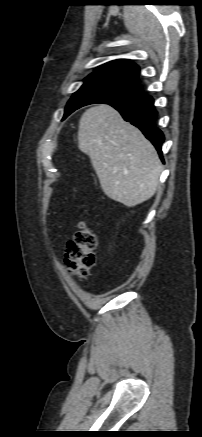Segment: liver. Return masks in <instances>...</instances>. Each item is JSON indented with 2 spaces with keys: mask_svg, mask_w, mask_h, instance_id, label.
I'll return each mask as SVG.
<instances>
[{
  "mask_svg": "<svg viewBox=\"0 0 202 437\" xmlns=\"http://www.w3.org/2000/svg\"><path fill=\"white\" fill-rule=\"evenodd\" d=\"M79 149L86 153L103 192L128 207L151 198L162 164L154 146L113 107L100 104L80 118Z\"/></svg>",
  "mask_w": 202,
  "mask_h": 437,
  "instance_id": "liver-1",
  "label": "liver"
}]
</instances>
